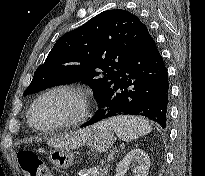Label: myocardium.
I'll return each instance as SVG.
<instances>
[{
  "instance_id": "1",
  "label": "myocardium",
  "mask_w": 205,
  "mask_h": 176,
  "mask_svg": "<svg viewBox=\"0 0 205 176\" xmlns=\"http://www.w3.org/2000/svg\"><path fill=\"white\" fill-rule=\"evenodd\" d=\"M55 94H64V95H67V96L73 98L78 105L77 113L70 118L63 119L62 121L56 122V123L49 125V126L36 125L33 121V114H34V111H35L37 105L40 102H42L43 100H45L46 98H48L52 95H55ZM88 116H89V103H88V100H87L85 94L81 90H79L73 86L59 85V86H54V87L47 89L46 91L41 93L33 101L32 105L28 111L27 118H28V122H29L30 126L32 128H34L35 130L50 131V130H54V129H58V128L74 127V126L81 125L82 123H84L87 120Z\"/></svg>"
}]
</instances>
